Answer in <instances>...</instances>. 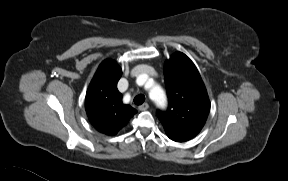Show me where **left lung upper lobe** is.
Instances as JSON below:
<instances>
[{
  "mask_svg": "<svg viewBox=\"0 0 288 181\" xmlns=\"http://www.w3.org/2000/svg\"><path fill=\"white\" fill-rule=\"evenodd\" d=\"M164 77L169 107L157 111L158 118L170 139L189 140L203 128L210 111L205 85L194 63L181 52L165 62Z\"/></svg>",
  "mask_w": 288,
  "mask_h": 181,
  "instance_id": "left-lung-upper-lobe-1",
  "label": "left lung upper lobe"
}]
</instances>
